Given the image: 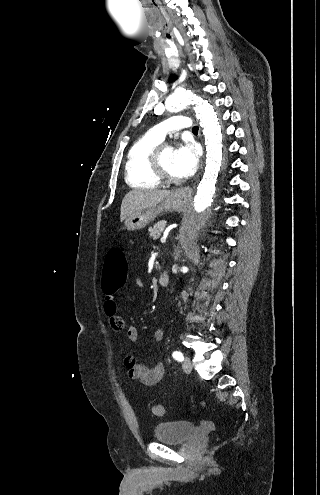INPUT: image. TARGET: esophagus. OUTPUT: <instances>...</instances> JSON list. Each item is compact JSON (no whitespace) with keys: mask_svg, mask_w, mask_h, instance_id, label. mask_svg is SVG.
<instances>
[{"mask_svg":"<svg viewBox=\"0 0 320 495\" xmlns=\"http://www.w3.org/2000/svg\"><path fill=\"white\" fill-rule=\"evenodd\" d=\"M192 194H193V190L189 186L180 188L176 191V195L185 200L191 199Z\"/></svg>","mask_w":320,"mask_h":495,"instance_id":"esophagus-1","label":"esophagus"}]
</instances>
